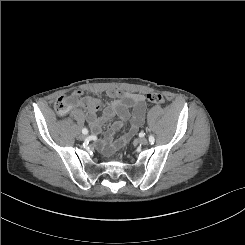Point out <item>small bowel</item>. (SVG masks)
<instances>
[{"mask_svg":"<svg viewBox=\"0 0 245 245\" xmlns=\"http://www.w3.org/2000/svg\"><path fill=\"white\" fill-rule=\"evenodd\" d=\"M76 93L81 95L79 91ZM106 93L112 99V102L104 108L102 116L99 117L97 115L100 103L94 95L84 97V102L81 106L86 110V119L95 135L100 132L104 123L110 121L114 116L118 117V120L112 123L111 130L100 143L101 148L112 149L116 145L124 144L140 128L144 122L146 104L144 96L139 93L114 88L108 89ZM128 121H130V132L127 138L114 144V133L119 131Z\"/></svg>","mask_w":245,"mask_h":245,"instance_id":"1","label":"small bowel"}]
</instances>
